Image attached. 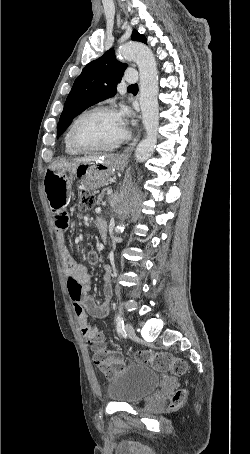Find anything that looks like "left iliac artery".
Wrapping results in <instances>:
<instances>
[{"instance_id":"1","label":"left iliac artery","mask_w":250,"mask_h":454,"mask_svg":"<svg viewBox=\"0 0 250 454\" xmlns=\"http://www.w3.org/2000/svg\"><path fill=\"white\" fill-rule=\"evenodd\" d=\"M116 330L119 335L123 334L124 332V320L119 314L116 317Z\"/></svg>"}]
</instances>
